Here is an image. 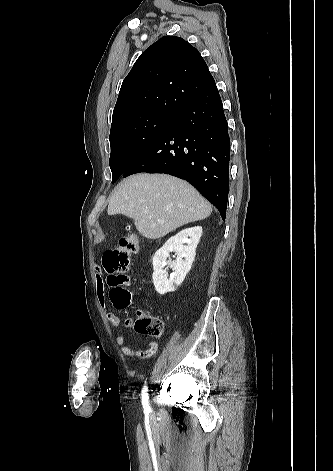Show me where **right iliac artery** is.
<instances>
[{
    "mask_svg": "<svg viewBox=\"0 0 333 471\" xmlns=\"http://www.w3.org/2000/svg\"><path fill=\"white\" fill-rule=\"evenodd\" d=\"M148 387L145 384L142 388V405L144 408L145 413H149L151 411V408L149 406V400H148Z\"/></svg>",
    "mask_w": 333,
    "mask_h": 471,
    "instance_id": "1",
    "label": "right iliac artery"
}]
</instances>
